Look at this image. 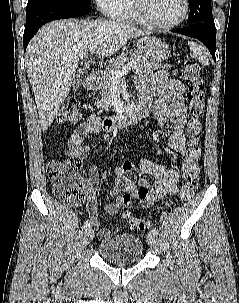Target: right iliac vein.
Returning a JSON list of instances; mask_svg holds the SVG:
<instances>
[{"instance_id": "right-iliac-vein-1", "label": "right iliac vein", "mask_w": 239, "mask_h": 303, "mask_svg": "<svg viewBox=\"0 0 239 303\" xmlns=\"http://www.w3.org/2000/svg\"><path fill=\"white\" fill-rule=\"evenodd\" d=\"M94 231L92 228L85 229L83 237V245L87 246L93 239Z\"/></svg>"}]
</instances>
